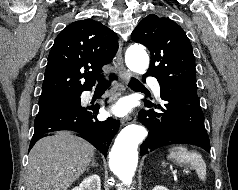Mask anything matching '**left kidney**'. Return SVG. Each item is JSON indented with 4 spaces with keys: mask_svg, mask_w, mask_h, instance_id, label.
Here are the masks:
<instances>
[{
    "mask_svg": "<svg viewBox=\"0 0 238 190\" xmlns=\"http://www.w3.org/2000/svg\"><path fill=\"white\" fill-rule=\"evenodd\" d=\"M153 190H169V189L166 188V187H163V186H161V185H156V186L153 188Z\"/></svg>",
    "mask_w": 238,
    "mask_h": 190,
    "instance_id": "1",
    "label": "left kidney"
}]
</instances>
